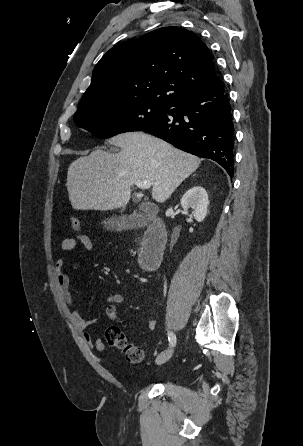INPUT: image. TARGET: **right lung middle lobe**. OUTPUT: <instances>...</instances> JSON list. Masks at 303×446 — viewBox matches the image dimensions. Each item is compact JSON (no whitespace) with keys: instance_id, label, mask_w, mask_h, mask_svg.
<instances>
[{"instance_id":"obj_1","label":"right lung middle lobe","mask_w":303,"mask_h":446,"mask_svg":"<svg viewBox=\"0 0 303 446\" xmlns=\"http://www.w3.org/2000/svg\"><path fill=\"white\" fill-rule=\"evenodd\" d=\"M170 108L147 101L109 104L76 113L74 122L99 138H109L122 132L142 131Z\"/></svg>"}]
</instances>
